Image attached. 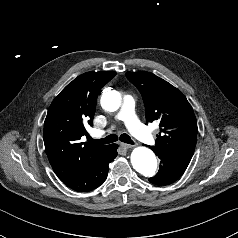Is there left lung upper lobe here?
<instances>
[{
    "label": "left lung upper lobe",
    "instance_id": "left-lung-upper-lobe-1",
    "mask_svg": "<svg viewBox=\"0 0 238 238\" xmlns=\"http://www.w3.org/2000/svg\"><path fill=\"white\" fill-rule=\"evenodd\" d=\"M126 75L142 94L147 122H159L160 133L151 149L192 158L197 120L183 93L150 72H127Z\"/></svg>",
    "mask_w": 238,
    "mask_h": 238
}]
</instances>
